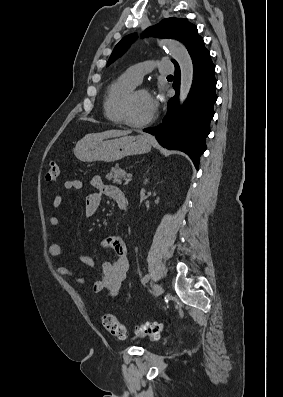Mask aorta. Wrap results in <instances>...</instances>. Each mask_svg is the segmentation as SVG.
Masks as SVG:
<instances>
[{"mask_svg": "<svg viewBox=\"0 0 283 397\" xmlns=\"http://www.w3.org/2000/svg\"><path fill=\"white\" fill-rule=\"evenodd\" d=\"M161 45L165 47L171 56L178 62L181 71L179 101L182 105L187 98L193 82V63L186 47L175 40H162Z\"/></svg>", "mask_w": 283, "mask_h": 397, "instance_id": "1", "label": "aorta"}]
</instances>
